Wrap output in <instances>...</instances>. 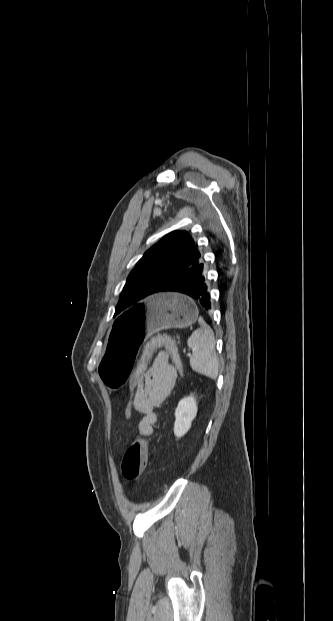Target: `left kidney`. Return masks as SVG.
Returning <instances> with one entry per match:
<instances>
[{
    "label": "left kidney",
    "instance_id": "obj_1",
    "mask_svg": "<svg viewBox=\"0 0 333 621\" xmlns=\"http://www.w3.org/2000/svg\"><path fill=\"white\" fill-rule=\"evenodd\" d=\"M197 404L193 395L179 401L175 410L174 434L184 436L190 429L191 423L197 415Z\"/></svg>",
    "mask_w": 333,
    "mask_h": 621
}]
</instances>
